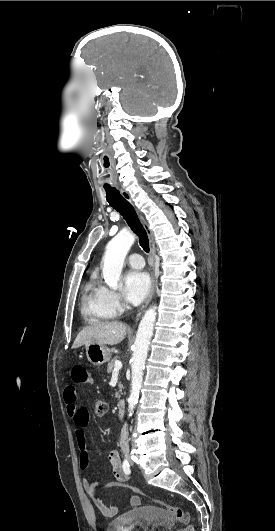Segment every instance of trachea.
Masks as SVG:
<instances>
[{"label":"trachea","instance_id":"3493384b","mask_svg":"<svg viewBox=\"0 0 275 531\" xmlns=\"http://www.w3.org/2000/svg\"><path fill=\"white\" fill-rule=\"evenodd\" d=\"M106 198L110 206L118 211L128 226L139 236L140 246L146 253H149V239L147 233L140 223V220L135 212L133 206L121 196L120 192L116 188L105 186Z\"/></svg>","mask_w":275,"mask_h":531}]
</instances>
